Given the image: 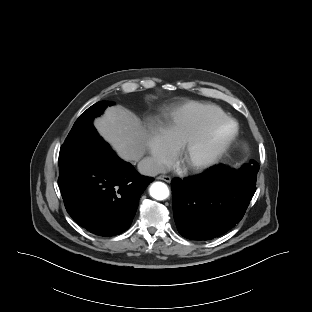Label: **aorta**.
<instances>
[{
	"label": "aorta",
	"mask_w": 312,
	"mask_h": 312,
	"mask_svg": "<svg viewBox=\"0 0 312 312\" xmlns=\"http://www.w3.org/2000/svg\"><path fill=\"white\" fill-rule=\"evenodd\" d=\"M149 193L156 200H165L169 197L168 186L163 182H154L149 189Z\"/></svg>",
	"instance_id": "1"
}]
</instances>
